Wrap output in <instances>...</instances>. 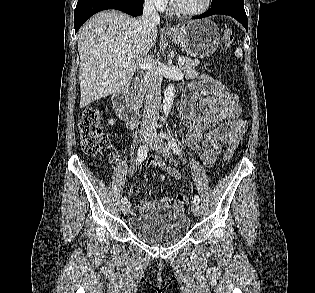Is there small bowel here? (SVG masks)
Masks as SVG:
<instances>
[{
  "mask_svg": "<svg viewBox=\"0 0 315 293\" xmlns=\"http://www.w3.org/2000/svg\"><path fill=\"white\" fill-rule=\"evenodd\" d=\"M197 107L200 114L196 112ZM241 106L236 94H232L223 83L217 79L202 75L184 92L180 119L187 129L186 143L191 151L196 153L204 163H213L221 152L222 144L227 148H235L240 143L247 130L246 120L240 117ZM149 166L166 169L175 179L180 173L170 167L159 157H152ZM163 181L165 177H162ZM136 188H131L134 194ZM171 199L163 197L158 200L142 198L135 213H141L155 206H170Z\"/></svg>",
  "mask_w": 315,
  "mask_h": 293,
  "instance_id": "small-bowel-1",
  "label": "small bowel"
}]
</instances>
